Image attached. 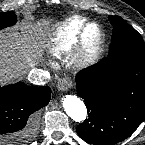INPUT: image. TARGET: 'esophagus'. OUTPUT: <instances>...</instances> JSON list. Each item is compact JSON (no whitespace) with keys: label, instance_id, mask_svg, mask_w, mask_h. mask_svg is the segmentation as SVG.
Masks as SVG:
<instances>
[{"label":"esophagus","instance_id":"34e87169","mask_svg":"<svg viewBox=\"0 0 145 145\" xmlns=\"http://www.w3.org/2000/svg\"><path fill=\"white\" fill-rule=\"evenodd\" d=\"M72 86L70 78H62L58 81L57 89L59 91H67Z\"/></svg>","mask_w":145,"mask_h":145}]
</instances>
